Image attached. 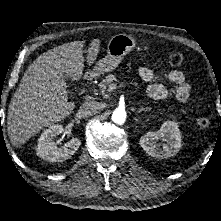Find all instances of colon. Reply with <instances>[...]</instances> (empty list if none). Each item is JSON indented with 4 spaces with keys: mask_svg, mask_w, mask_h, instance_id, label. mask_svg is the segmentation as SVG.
<instances>
[{
    "mask_svg": "<svg viewBox=\"0 0 221 221\" xmlns=\"http://www.w3.org/2000/svg\"><path fill=\"white\" fill-rule=\"evenodd\" d=\"M167 62L171 66H180L184 62V56L178 52L171 53L167 56ZM195 122L198 127L203 129H206L210 126V120L203 116L197 117Z\"/></svg>",
    "mask_w": 221,
    "mask_h": 221,
    "instance_id": "colon-1",
    "label": "colon"
}]
</instances>
